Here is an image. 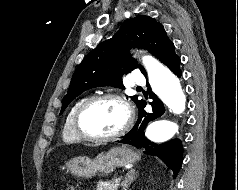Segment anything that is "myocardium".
<instances>
[{"mask_svg":"<svg viewBox=\"0 0 238 190\" xmlns=\"http://www.w3.org/2000/svg\"><path fill=\"white\" fill-rule=\"evenodd\" d=\"M108 99L116 100L124 107L126 111V121L124 125L118 131L110 135H92L85 132L81 125L82 116L85 113V111L94 103L102 101V100H108ZM133 121H134V110L130 102L127 100V98L124 95L119 93L108 92V93L91 96L87 98L79 106L74 116V128L77 135L83 140L90 141V142H107V141L115 140L123 136L125 133H127L128 130L131 128Z\"/></svg>","mask_w":238,"mask_h":190,"instance_id":"f54148a6","label":"myocardium"}]
</instances>
